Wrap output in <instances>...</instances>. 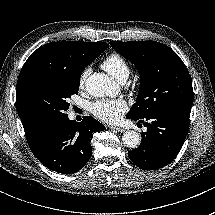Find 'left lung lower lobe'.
Masks as SVG:
<instances>
[{
    "mask_svg": "<svg viewBox=\"0 0 215 215\" xmlns=\"http://www.w3.org/2000/svg\"><path fill=\"white\" fill-rule=\"evenodd\" d=\"M191 106L175 107L148 115L147 132L138 148L130 151V160L143 170H155L172 162L189 130ZM139 122H144L142 119Z\"/></svg>",
    "mask_w": 215,
    "mask_h": 215,
    "instance_id": "1",
    "label": "left lung lower lobe"
}]
</instances>
